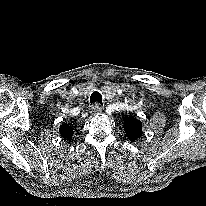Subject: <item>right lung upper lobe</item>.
<instances>
[{
    "label": "right lung upper lobe",
    "instance_id": "cb5924a9",
    "mask_svg": "<svg viewBox=\"0 0 206 206\" xmlns=\"http://www.w3.org/2000/svg\"><path fill=\"white\" fill-rule=\"evenodd\" d=\"M74 133V128L69 126L68 124H62L60 126V134L64 137V139L70 140Z\"/></svg>",
    "mask_w": 206,
    "mask_h": 206
}]
</instances>
